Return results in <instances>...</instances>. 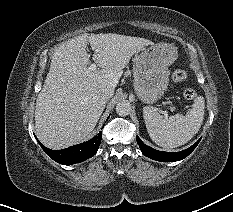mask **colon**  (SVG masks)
Returning <instances> with one entry per match:
<instances>
[{"label": "colon", "instance_id": "colon-1", "mask_svg": "<svg viewBox=\"0 0 233 212\" xmlns=\"http://www.w3.org/2000/svg\"><path fill=\"white\" fill-rule=\"evenodd\" d=\"M187 72L184 70H176L173 74H172V80L175 83H179L182 82L184 80L187 79ZM183 96L184 98H186L187 100H194L197 97V93L195 90L191 89V88H187L183 91Z\"/></svg>", "mask_w": 233, "mask_h": 212}]
</instances>
